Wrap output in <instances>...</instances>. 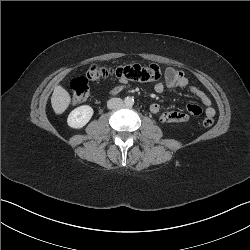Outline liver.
<instances>
[{"instance_id":"6515ba94","label":"liver","mask_w":250,"mask_h":250,"mask_svg":"<svg viewBox=\"0 0 250 250\" xmlns=\"http://www.w3.org/2000/svg\"><path fill=\"white\" fill-rule=\"evenodd\" d=\"M71 101L70 94L62 86L57 85L51 96V104L56 114H62L69 106Z\"/></svg>"}]
</instances>
